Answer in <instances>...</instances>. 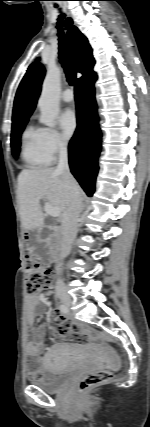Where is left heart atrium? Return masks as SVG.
Returning a JSON list of instances; mask_svg holds the SVG:
<instances>
[{
	"mask_svg": "<svg viewBox=\"0 0 150 427\" xmlns=\"http://www.w3.org/2000/svg\"><path fill=\"white\" fill-rule=\"evenodd\" d=\"M60 125L65 137L70 138L77 128L76 114L72 109H66L60 116Z\"/></svg>",
	"mask_w": 150,
	"mask_h": 427,
	"instance_id": "obj_1",
	"label": "left heart atrium"
}]
</instances>
